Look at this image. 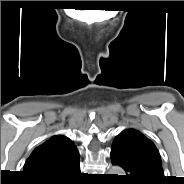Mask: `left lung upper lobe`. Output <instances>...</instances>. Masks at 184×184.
<instances>
[{"mask_svg":"<svg viewBox=\"0 0 184 184\" xmlns=\"http://www.w3.org/2000/svg\"><path fill=\"white\" fill-rule=\"evenodd\" d=\"M112 145L126 151L132 158L145 165L157 178L165 180L157 148L138 130L123 131L115 138Z\"/></svg>","mask_w":184,"mask_h":184,"instance_id":"5c2ea615","label":"left lung upper lobe"}]
</instances>
